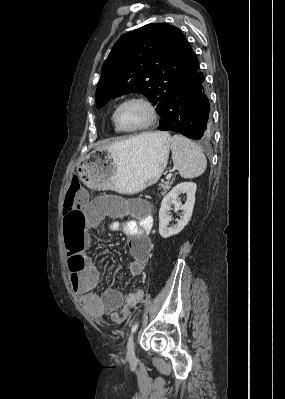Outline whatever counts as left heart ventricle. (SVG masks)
<instances>
[{
	"label": "left heart ventricle",
	"mask_w": 285,
	"mask_h": 399,
	"mask_svg": "<svg viewBox=\"0 0 285 399\" xmlns=\"http://www.w3.org/2000/svg\"><path fill=\"white\" fill-rule=\"evenodd\" d=\"M149 119L147 107L140 102H131L119 112V122L124 128H133L144 124Z\"/></svg>",
	"instance_id": "left-heart-ventricle-1"
}]
</instances>
